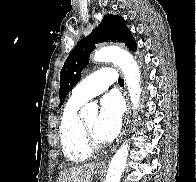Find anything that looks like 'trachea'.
<instances>
[{
	"mask_svg": "<svg viewBox=\"0 0 196 182\" xmlns=\"http://www.w3.org/2000/svg\"><path fill=\"white\" fill-rule=\"evenodd\" d=\"M118 83H119L120 86H123V85H124V80H123L122 78H120V79L118 80Z\"/></svg>",
	"mask_w": 196,
	"mask_h": 182,
	"instance_id": "trachea-1",
	"label": "trachea"
}]
</instances>
